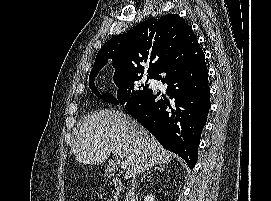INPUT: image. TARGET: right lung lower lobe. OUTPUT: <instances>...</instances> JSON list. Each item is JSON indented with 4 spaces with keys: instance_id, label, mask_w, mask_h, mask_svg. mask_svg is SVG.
<instances>
[{
    "instance_id": "1",
    "label": "right lung lower lobe",
    "mask_w": 271,
    "mask_h": 201,
    "mask_svg": "<svg viewBox=\"0 0 271 201\" xmlns=\"http://www.w3.org/2000/svg\"><path fill=\"white\" fill-rule=\"evenodd\" d=\"M153 79L167 84L164 99L157 100L159 92L150 89L127 102L125 108L166 150L178 154L194 168L211 107L208 70L198 40L186 37Z\"/></svg>"
}]
</instances>
